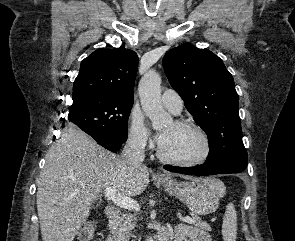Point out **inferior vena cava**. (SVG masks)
Segmentation results:
<instances>
[{
    "label": "inferior vena cava",
    "mask_w": 295,
    "mask_h": 241,
    "mask_svg": "<svg viewBox=\"0 0 295 241\" xmlns=\"http://www.w3.org/2000/svg\"><path fill=\"white\" fill-rule=\"evenodd\" d=\"M144 148L145 143L142 140L130 138L122 151L121 158L130 166L140 167L145 158Z\"/></svg>",
    "instance_id": "602c4592"
}]
</instances>
